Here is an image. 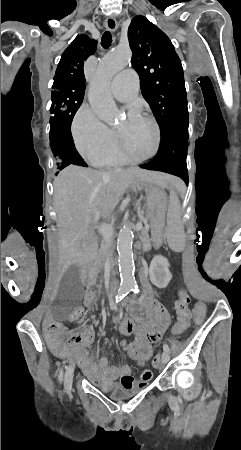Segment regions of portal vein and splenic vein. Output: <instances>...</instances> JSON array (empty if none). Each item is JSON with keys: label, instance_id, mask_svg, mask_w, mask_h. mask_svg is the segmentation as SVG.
Segmentation results:
<instances>
[{"label": "portal vein and splenic vein", "instance_id": "18ae733b", "mask_svg": "<svg viewBox=\"0 0 241 450\" xmlns=\"http://www.w3.org/2000/svg\"><path fill=\"white\" fill-rule=\"evenodd\" d=\"M144 222L137 221V231H142V225ZM98 228L99 234H102L104 240H111L114 232L113 224H101V226H96Z\"/></svg>", "mask_w": 241, "mask_h": 450}]
</instances>
